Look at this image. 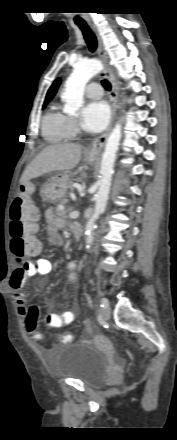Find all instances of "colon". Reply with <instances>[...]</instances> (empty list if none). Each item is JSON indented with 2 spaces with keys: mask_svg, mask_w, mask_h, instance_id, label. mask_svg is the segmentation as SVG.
I'll list each match as a JSON object with an SVG mask.
<instances>
[{
  "mask_svg": "<svg viewBox=\"0 0 177 440\" xmlns=\"http://www.w3.org/2000/svg\"><path fill=\"white\" fill-rule=\"evenodd\" d=\"M34 190L30 184L23 185L20 193L15 197L10 208V236L11 251L19 263H25L28 256L38 252L39 243L36 238L39 212L32 204L31 196ZM38 309L32 307L28 311L26 327L30 333H35L37 328ZM37 342H44L45 334H36L33 337ZM62 345L67 346L72 341L68 332L60 335Z\"/></svg>",
  "mask_w": 177,
  "mask_h": 440,
  "instance_id": "1",
  "label": "colon"
}]
</instances>
